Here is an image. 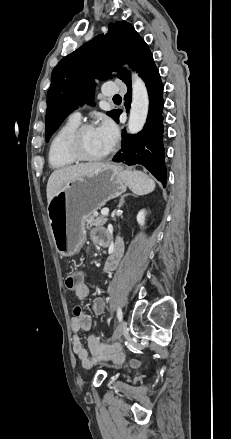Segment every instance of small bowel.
<instances>
[{
  "label": "small bowel",
  "mask_w": 231,
  "mask_h": 439,
  "mask_svg": "<svg viewBox=\"0 0 231 439\" xmlns=\"http://www.w3.org/2000/svg\"><path fill=\"white\" fill-rule=\"evenodd\" d=\"M91 238L93 242L98 245L110 244L109 254L104 265V271L111 272L115 270L123 254L124 246L122 240L118 238L112 241L108 232L103 228L93 229L91 232ZM69 289L71 290L72 288ZM91 289V283H78L75 288L76 298L81 302L84 301L89 296ZM90 310L95 315H102L105 311L104 299L102 297L96 298L92 303ZM73 313L74 315L70 320V327L73 332L72 346L73 351L81 364L84 367L89 368L100 359H112L116 362H120L122 356L117 352H112L108 355L104 354L105 348L102 346L100 338L90 332L92 327L91 316L80 306L75 307ZM80 331L87 334L88 348H86L81 341L79 335ZM90 353L92 357H90Z\"/></svg>",
  "instance_id": "1"
}]
</instances>
